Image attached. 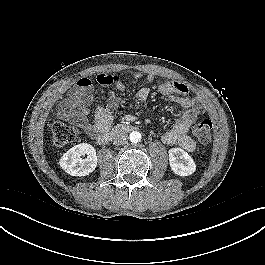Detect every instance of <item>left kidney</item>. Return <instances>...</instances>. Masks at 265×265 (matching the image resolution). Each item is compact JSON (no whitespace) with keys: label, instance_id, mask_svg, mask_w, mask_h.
Here are the masks:
<instances>
[{"label":"left kidney","instance_id":"1","mask_svg":"<svg viewBox=\"0 0 265 265\" xmlns=\"http://www.w3.org/2000/svg\"><path fill=\"white\" fill-rule=\"evenodd\" d=\"M169 163L172 171L179 176H189L196 171L193 158L181 148H171Z\"/></svg>","mask_w":265,"mask_h":265}]
</instances>
